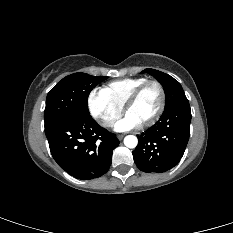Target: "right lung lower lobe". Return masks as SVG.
Instances as JSON below:
<instances>
[{
  "label": "right lung lower lobe",
  "instance_id": "right-lung-lower-lobe-1",
  "mask_svg": "<svg viewBox=\"0 0 233 233\" xmlns=\"http://www.w3.org/2000/svg\"><path fill=\"white\" fill-rule=\"evenodd\" d=\"M51 154L59 166L77 179L105 174L119 145L115 134L89 115L65 118L45 126Z\"/></svg>",
  "mask_w": 233,
  "mask_h": 233
}]
</instances>
